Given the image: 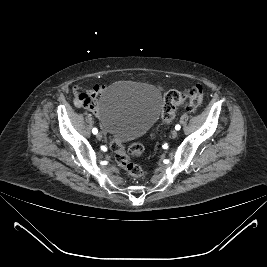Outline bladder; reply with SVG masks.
<instances>
[{"instance_id": "1", "label": "bladder", "mask_w": 267, "mask_h": 267, "mask_svg": "<svg viewBox=\"0 0 267 267\" xmlns=\"http://www.w3.org/2000/svg\"><path fill=\"white\" fill-rule=\"evenodd\" d=\"M161 94L154 87L135 81L112 83L99 99L102 126L118 142L135 140L157 120Z\"/></svg>"}]
</instances>
